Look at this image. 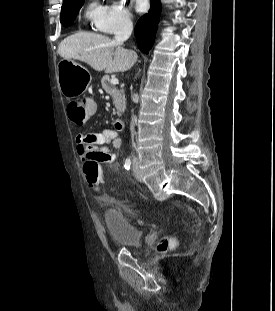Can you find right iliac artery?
<instances>
[{"label":"right iliac artery","instance_id":"82829eb1","mask_svg":"<svg viewBox=\"0 0 275 311\" xmlns=\"http://www.w3.org/2000/svg\"><path fill=\"white\" fill-rule=\"evenodd\" d=\"M125 169L129 170L130 167H131V159L128 158L125 162V165H124Z\"/></svg>","mask_w":275,"mask_h":311}]
</instances>
